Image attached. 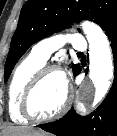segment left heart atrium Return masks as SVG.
Listing matches in <instances>:
<instances>
[{
  "label": "left heart atrium",
  "instance_id": "1",
  "mask_svg": "<svg viewBox=\"0 0 117 136\" xmlns=\"http://www.w3.org/2000/svg\"><path fill=\"white\" fill-rule=\"evenodd\" d=\"M64 77V80H65V82L67 83V79H66V76H63Z\"/></svg>",
  "mask_w": 117,
  "mask_h": 136
}]
</instances>
